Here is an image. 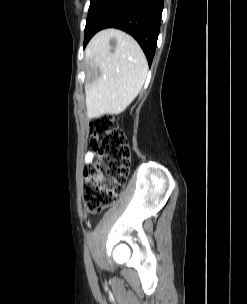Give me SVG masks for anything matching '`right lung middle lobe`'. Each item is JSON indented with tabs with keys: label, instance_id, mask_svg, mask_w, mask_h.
<instances>
[{
	"label": "right lung middle lobe",
	"instance_id": "right-lung-middle-lobe-1",
	"mask_svg": "<svg viewBox=\"0 0 247 304\" xmlns=\"http://www.w3.org/2000/svg\"><path fill=\"white\" fill-rule=\"evenodd\" d=\"M96 1H97V0H91V1H90V7H89L88 13L92 10V8H93V6L95 5Z\"/></svg>",
	"mask_w": 247,
	"mask_h": 304
}]
</instances>
